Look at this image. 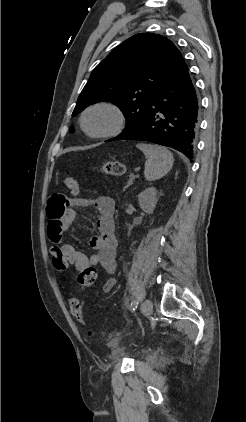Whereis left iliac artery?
<instances>
[{
    "label": "left iliac artery",
    "instance_id": "left-iliac-artery-1",
    "mask_svg": "<svg viewBox=\"0 0 246 422\" xmlns=\"http://www.w3.org/2000/svg\"><path fill=\"white\" fill-rule=\"evenodd\" d=\"M137 306H138V301L137 300H134L131 303V311L134 312L136 310Z\"/></svg>",
    "mask_w": 246,
    "mask_h": 422
}]
</instances>
